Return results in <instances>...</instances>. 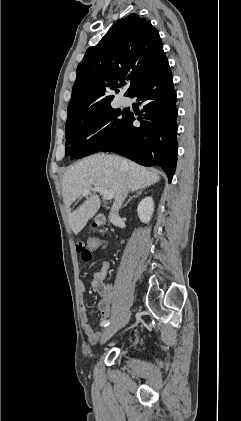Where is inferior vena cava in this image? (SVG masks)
I'll return each instance as SVG.
<instances>
[{
	"label": "inferior vena cava",
	"instance_id": "1",
	"mask_svg": "<svg viewBox=\"0 0 241 421\" xmlns=\"http://www.w3.org/2000/svg\"><path fill=\"white\" fill-rule=\"evenodd\" d=\"M127 194H128V188L125 186L123 188L122 195L119 198L115 199V201L113 203V206H112L111 211H110V219L111 220L119 217V209L121 208L122 202L126 198Z\"/></svg>",
	"mask_w": 241,
	"mask_h": 421
}]
</instances>
